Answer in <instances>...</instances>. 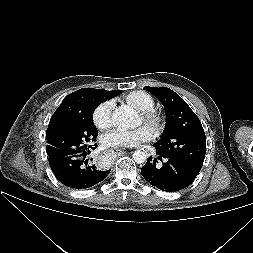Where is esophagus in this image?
I'll list each match as a JSON object with an SVG mask.
<instances>
[{
  "label": "esophagus",
  "instance_id": "obj_1",
  "mask_svg": "<svg viewBox=\"0 0 253 253\" xmlns=\"http://www.w3.org/2000/svg\"><path fill=\"white\" fill-rule=\"evenodd\" d=\"M108 154H115V155H121L123 151L119 148H109L105 151Z\"/></svg>",
  "mask_w": 253,
  "mask_h": 253
}]
</instances>
